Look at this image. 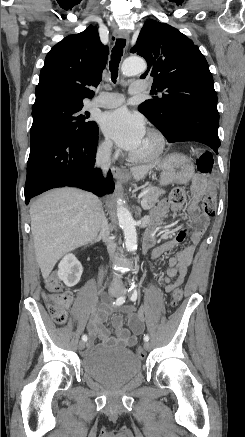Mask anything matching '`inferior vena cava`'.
Segmentation results:
<instances>
[{
  "mask_svg": "<svg viewBox=\"0 0 245 437\" xmlns=\"http://www.w3.org/2000/svg\"><path fill=\"white\" fill-rule=\"evenodd\" d=\"M111 148H112V144L110 143L107 144L96 158V164L101 168L104 175L107 174V171L110 167ZM100 230L103 235V239L107 244V250L110 257L112 258L115 257L116 244L109 239L110 236L109 225L103 211L101 216ZM113 283L114 284L120 283V276L116 273H114L113 275Z\"/></svg>",
  "mask_w": 245,
  "mask_h": 437,
  "instance_id": "inferior-vena-cava-1",
  "label": "inferior vena cava"
}]
</instances>
